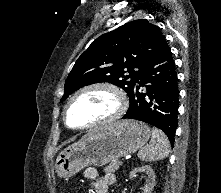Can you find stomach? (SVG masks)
<instances>
[{
  "instance_id": "obj_1",
  "label": "stomach",
  "mask_w": 221,
  "mask_h": 193,
  "mask_svg": "<svg viewBox=\"0 0 221 193\" xmlns=\"http://www.w3.org/2000/svg\"><path fill=\"white\" fill-rule=\"evenodd\" d=\"M151 135L143 122L124 120L91 131L62 151L55 161L60 177H71L88 166H102L142 148Z\"/></svg>"
}]
</instances>
